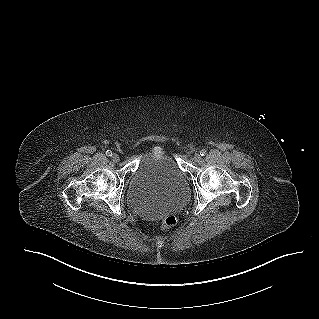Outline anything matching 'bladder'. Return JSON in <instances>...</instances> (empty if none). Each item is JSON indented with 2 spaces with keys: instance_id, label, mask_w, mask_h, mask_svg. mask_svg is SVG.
<instances>
[{
  "instance_id": "obj_1",
  "label": "bladder",
  "mask_w": 319,
  "mask_h": 319,
  "mask_svg": "<svg viewBox=\"0 0 319 319\" xmlns=\"http://www.w3.org/2000/svg\"><path fill=\"white\" fill-rule=\"evenodd\" d=\"M190 195L188 178L166 153L148 151L139 159L126 192L129 206L156 215L184 204Z\"/></svg>"
}]
</instances>
